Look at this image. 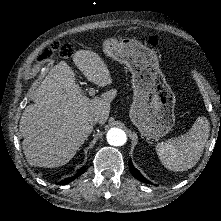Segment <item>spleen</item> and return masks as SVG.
<instances>
[{
  "label": "spleen",
  "instance_id": "spleen-1",
  "mask_svg": "<svg viewBox=\"0 0 221 221\" xmlns=\"http://www.w3.org/2000/svg\"><path fill=\"white\" fill-rule=\"evenodd\" d=\"M209 134V121L206 117H198L185 134L157 144L156 151L160 161L172 171L191 169L202 156Z\"/></svg>",
  "mask_w": 221,
  "mask_h": 221
}]
</instances>
